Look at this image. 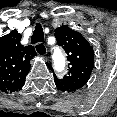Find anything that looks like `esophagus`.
<instances>
[{
    "label": "esophagus",
    "instance_id": "34e87169",
    "mask_svg": "<svg viewBox=\"0 0 117 117\" xmlns=\"http://www.w3.org/2000/svg\"><path fill=\"white\" fill-rule=\"evenodd\" d=\"M40 45L39 51H37L36 46ZM35 46L36 52L38 55L45 57L47 55V48L43 43H37Z\"/></svg>",
    "mask_w": 117,
    "mask_h": 117
}]
</instances>
